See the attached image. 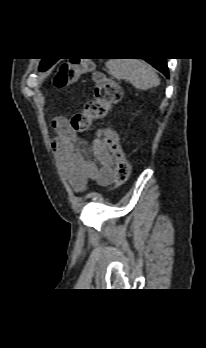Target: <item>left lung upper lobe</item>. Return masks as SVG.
Segmentation results:
<instances>
[{
    "mask_svg": "<svg viewBox=\"0 0 206 348\" xmlns=\"http://www.w3.org/2000/svg\"><path fill=\"white\" fill-rule=\"evenodd\" d=\"M53 63H54V61L47 60V59H42V61H41V63H40L39 70H40V71H45V70H47Z\"/></svg>",
    "mask_w": 206,
    "mask_h": 348,
    "instance_id": "5c2ea615",
    "label": "left lung upper lobe"
}]
</instances>
